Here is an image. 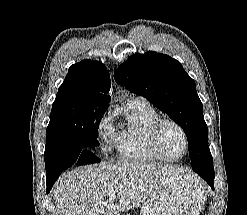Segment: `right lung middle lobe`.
Here are the masks:
<instances>
[{
    "label": "right lung middle lobe",
    "instance_id": "1",
    "mask_svg": "<svg viewBox=\"0 0 247 215\" xmlns=\"http://www.w3.org/2000/svg\"><path fill=\"white\" fill-rule=\"evenodd\" d=\"M106 109L107 106L84 101L71 91L58 92L47 127L44 158L64 146H98L97 129Z\"/></svg>",
    "mask_w": 247,
    "mask_h": 215
}]
</instances>
